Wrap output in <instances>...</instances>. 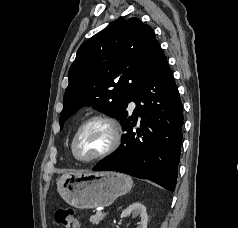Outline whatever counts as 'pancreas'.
<instances>
[{
    "instance_id": "cf45deb5",
    "label": "pancreas",
    "mask_w": 238,
    "mask_h": 228,
    "mask_svg": "<svg viewBox=\"0 0 238 228\" xmlns=\"http://www.w3.org/2000/svg\"><path fill=\"white\" fill-rule=\"evenodd\" d=\"M103 218H104V215H101V216H99V215H92L91 217H90V222L93 224V225H97V224H99L102 220H103Z\"/></svg>"
}]
</instances>
